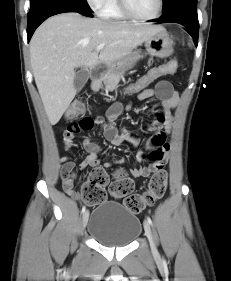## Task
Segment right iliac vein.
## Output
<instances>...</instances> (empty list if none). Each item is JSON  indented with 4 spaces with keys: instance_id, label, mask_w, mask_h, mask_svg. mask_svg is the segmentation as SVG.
<instances>
[{
    "instance_id": "right-iliac-vein-1",
    "label": "right iliac vein",
    "mask_w": 231,
    "mask_h": 281,
    "mask_svg": "<svg viewBox=\"0 0 231 281\" xmlns=\"http://www.w3.org/2000/svg\"><path fill=\"white\" fill-rule=\"evenodd\" d=\"M88 218H89V212L85 211L82 217V227L83 229H85L87 222H88Z\"/></svg>"
}]
</instances>
